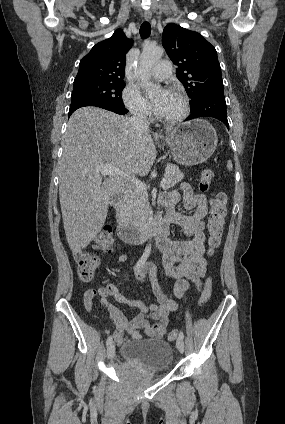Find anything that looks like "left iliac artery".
Listing matches in <instances>:
<instances>
[{
    "label": "left iliac artery",
    "instance_id": "obj_1",
    "mask_svg": "<svg viewBox=\"0 0 285 424\" xmlns=\"http://www.w3.org/2000/svg\"><path fill=\"white\" fill-rule=\"evenodd\" d=\"M179 337H180L181 339H183V338H184V334H183V332H182V331H180V332H179Z\"/></svg>",
    "mask_w": 285,
    "mask_h": 424
}]
</instances>
